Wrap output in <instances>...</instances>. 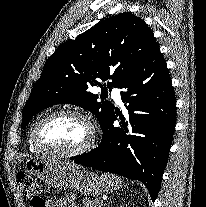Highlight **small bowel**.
Here are the masks:
<instances>
[{
	"label": "small bowel",
	"mask_w": 206,
	"mask_h": 207,
	"mask_svg": "<svg viewBox=\"0 0 206 207\" xmlns=\"http://www.w3.org/2000/svg\"><path fill=\"white\" fill-rule=\"evenodd\" d=\"M78 207L75 203L72 202L71 198H57L48 200L46 207Z\"/></svg>",
	"instance_id": "c3829d8e"
}]
</instances>
